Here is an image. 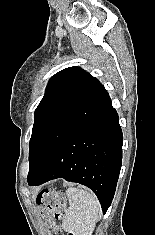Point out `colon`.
<instances>
[{"label": "colon", "mask_w": 155, "mask_h": 235, "mask_svg": "<svg viewBox=\"0 0 155 235\" xmlns=\"http://www.w3.org/2000/svg\"><path fill=\"white\" fill-rule=\"evenodd\" d=\"M40 214L45 218H61L65 214V202L63 198L50 191L43 190L36 197Z\"/></svg>", "instance_id": "colon-1"}]
</instances>
